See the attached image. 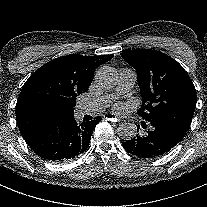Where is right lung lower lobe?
Segmentation results:
<instances>
[{"mask_svg": "<svg viewBox=\"0 0 207 207\" xmlns=\"http://www.w3.org/2000/svg\"><path fill=\"white\" fill-rule=\"evenodd\" d=\"M100 116L78 124L74 115L54 126L24 137L28 146L42 159L50 162H65L82 154L89 146L90 138Z\"/></svg>", "mask_w": 207, "mask_h": 207, "instance_id": "98d812e1", "label": "right lung lower lobe"}]
</instances>
